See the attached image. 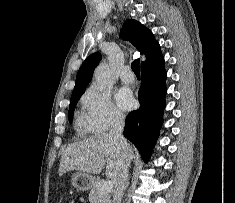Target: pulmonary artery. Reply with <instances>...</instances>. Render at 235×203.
Returning <instances> with one entry per match:
<instances>
[{
	"instance_id": "e3ab8cb5",
	"label": "pulmonary artery",
	"mask_w": 235,
	"mask_h": 203,
	"mask_svg": "<svg viewBox=\"0 0 235 203\" xmlns=\"http://www.w3.org/2000/svg\"><path fill=\"white\" fill-rule=\"evenodd\" d=\"M120 79L125 84H130L134 81V75L131 72L130 67L126 66L120 72Z\"/></svg>"
}]
</instances>
